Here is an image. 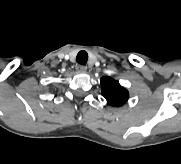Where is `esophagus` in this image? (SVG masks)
<instances>
[{"label":"esophagus","instance_id":"34e87169","mask_svg":"<svg viewBox=\"0 0 181 164\" xmlns=\"http://www.w3.org/2000/svg\"><path fill=\"white\" fill-rule=\"evenodd\" d=\"M76 69L80 72H86L87 71V67L84 65H77Z\"/></svg>","mask_w":181,"mask_h":164}]
</instances>
